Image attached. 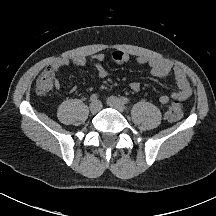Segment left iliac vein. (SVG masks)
<instances>
[{"label": "left iliac vein", "mask_w": 216, "mask_h": 216, "mask_svg": "<svg viewBox=\"0 0 216 216\" xmlns=\"http://www.w3.org/2000/svg\"><path fill=\"white\" fill-rule=\"evenodd\" d=\"M107 104L118 110L119 112H124L125 111V106L124 104L122 103L121 99L115 97V96H111L107 99Z\"/></svg>", "instance_id": "4c4485c4"}]
</instances>
